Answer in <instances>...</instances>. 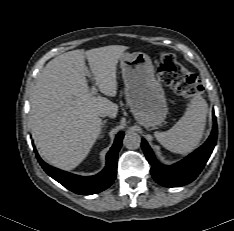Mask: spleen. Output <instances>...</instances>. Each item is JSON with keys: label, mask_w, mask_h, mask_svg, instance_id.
<instances>
[{"label": "spleen", "mask_w": 234, "mask_h": 231, "mask_svg": "<svg viewBox=\"0 0 234 231\" xmlns=\"http://www.w3.org/2000/svg\"><path fill=\"white\" fill-rule=\"evenodd\" d=\"M207 111L208 105L205 99L200 94H196L178 122L168 131H156L154 136L167 150L187 154L194 150L202 139Z\"/></svg>", "instance_id": "3e777b00"}]
</instances>
